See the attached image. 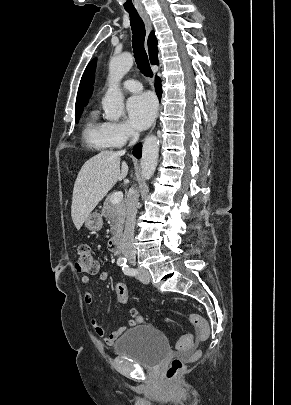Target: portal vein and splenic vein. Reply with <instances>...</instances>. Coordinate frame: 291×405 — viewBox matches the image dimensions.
I'll list each match as a JSON object with an SVG mask.
<instances>
[{"label": "portal vein and splenic vein", "instance_id": "18ae733b", "mask_svg": "<svg viewBox=\"0 0 291 405\" xmlns=\"http://www.w3.org/2000/svg\"><path fill=\"white\" fill-rule=\"evenodd\" d=\"M122 199H123V193L121 191L116 192L113 194V196L111 198V202H112V204H117V203L121 202Z\"/></svg>", "mask_w": 291, "mask_h": 405}]
</instances>
